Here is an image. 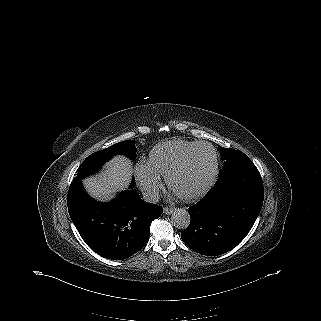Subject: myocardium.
<instances>
[{
    "mask_svg": "<svg viewBox=\"0 0 321 321\" xmlns=\"http://www.w3.org/2000/svg\"><path fill=\"white\" fill-rule=\"evenodd\" d=\"M200 147L210 148L214 155V170L210 180L203 188H201L199 191H197L194 194L187 195V196H179L174 194L171 191V183H172L173 177L187 166L193 153ZM218 171H219V158H218V153L216 149L209 143L199 142L182 159H180L174 166L171 167V169L167 172L165 176V182L169 191L172 192L177 198L183 201H193L201 197L202 195H204L206 192H208L212 188V186L215 184L217 180Z\"/></svg>",
    "mask_w": 321,
    "mask_h": 321,
    "instance_id": "myocardium-1",
    "label": "myocardium"
}]
</instances>
